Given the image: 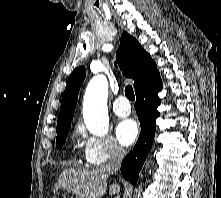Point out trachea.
<instances>
[{
  "label": "trachea",
  "instance_id": "1",
  "mask_svg": "<svg viewBox=\"0 0 221 198\" xmlns=\"http://www.w3.org/2000/svg\"><path fill=\"white\" fill-rule=\"evenodd\" d=\"M125 95L129 100H131V101L135 100L134 91H133V88L130 85L126 86Z\"/></svg>",
  "mask_w": 221,
  "mask_h": 198
}]
</instances>
